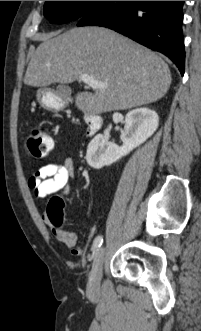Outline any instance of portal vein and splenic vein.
<instances>
[{"mask_svg":"<svg viewBox=\"0 0 201 331\" xmlns=\"http://www.w3.org/2000/svg\"><path fill=\"white\" fill-rule=\"evenodd\" d=\"M79 79L93 89H97V88L103 89L107 87V84L95 80L94 78L90 77L88 74H81L79 76Z\"/></svg>","mask_w":201,"mask_h":331,"instance_id":"portal-vein-and-splenic-vein-1","label":"portal vein and splenic vein"}]
</instances>
